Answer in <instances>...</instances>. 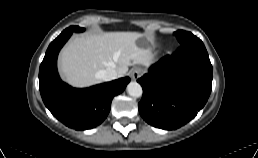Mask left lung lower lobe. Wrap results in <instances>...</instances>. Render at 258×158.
I'll return each mask as SVG.
<instances>
[{
    "label": "left lung lower lobe",
    "mask_w": 258,
    "mask_h": 158,
    "mask_svg": "<svg viewBox=\"0 0 258 158\" xmlns=\"http://www.w3.org/2000/svg\"><path fill=\"white\" fill-rule=\"evenodd\" d=\"M137 81L143 88L138 104L142 118L156 128L173 130L193 119L206 104L212 65L203 42L194 37Z\"/></svg>",
    "instance_id": "0a47b994"
}]
</instances>
